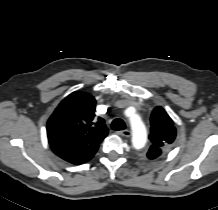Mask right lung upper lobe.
Instances as JSON below:
<instances>
[{
    "mask_svg": "<svg viewBox=\"0 0 218 210\" xmlns=\"http://www.w3.org/2000/svg\"><path fill=\"white\" fill-rule=\"evenodd\" d=\"M96 100L90 94L73 92L56 108L47 123L51 146L79 152H96L108 129L101 117L95 116Z\"/></svg>",
    "mask_w": 218,
    "mask_h": 210,
    "instance_id": "1",
    "label": "right lung upper lobe"
}]
</instances>
